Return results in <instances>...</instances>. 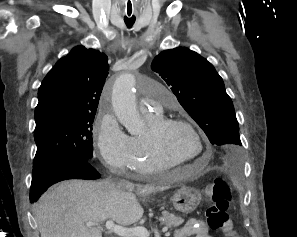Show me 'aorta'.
Returning a JSON list of instances; mask_svg holds the SVG:
<instances>
[{
	"label": "aorta",
	"instance_id": "762f6f07",
	"mask_svg": "<svg viewBox=\"0 0 297 237\" xmlns=\"http://www.w3.org/2000/svg\"><path fill=\"white\" fill-rule=\"evenodd\" d=\"M135 79L131 74L120 75L112 89V106L119 122L132 134L142 130V121L137 111L135 95L132 91Z\"/></svg>",
	"mask_w": 297,
	"mask_h": 237
}]
</instances>
